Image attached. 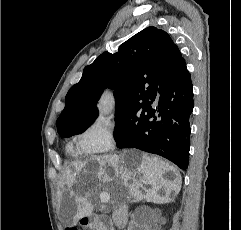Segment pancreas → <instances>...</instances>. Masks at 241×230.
Masks as SVG:
<instances>
[{
  "instance_id": "1",
  "label": "pancreas",
  "mask_w": 241,
  "mask_h": 230,
  "mask_svg": "<svg viewBox=\"0 0 241 230\" xmlns=\"http://www.w3.org/2000/svg\"><path fill=\"white\" fill-rule=\"evenodd\" d=\"M95 230H108V229L102 222L99 221L95 226Z\"/></svg>"
}]
</instances>
